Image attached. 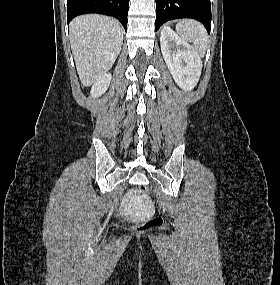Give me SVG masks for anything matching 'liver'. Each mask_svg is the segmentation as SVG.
Wrapping results in <instances>:
<instances>
[{
    "label": "liver",
    "mask_w": 280,
    "mask_h": 285,
    "mask_svg": "<svg viewBox=\"0 0 280 285\" xmlns=\"http://www.w3.org/2000/svg\"><path fill=\"white\" fill-rule=\"evenodd\" d=\"M123 43V29L114 19L97 14L70 23V44L83 86H89L113 66Z\"/></svg>",
    "instance_id": "1"
}]
</instances>
